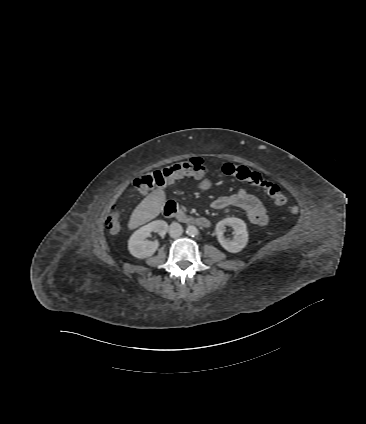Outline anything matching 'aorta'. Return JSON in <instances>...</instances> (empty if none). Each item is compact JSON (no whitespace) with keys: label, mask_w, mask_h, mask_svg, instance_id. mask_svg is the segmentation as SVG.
<instances>
[{"label":"aorta","mask_w":366,"mask_h":424,"mask_svg":"<svg viewBox=\"0 0 366 424\" xmlns=\"http://www.w3.org/2000/svg\"><path fill=\"white\" fill-rule=\"evenodd\" d=\"M186 233H187L189 236L194 237V236H196V235L198 234V229H197L195 226H193V225H189V226L187 227V229H186Z\"/></svg>","instance_id":"762f6f07"}]
</instances>
